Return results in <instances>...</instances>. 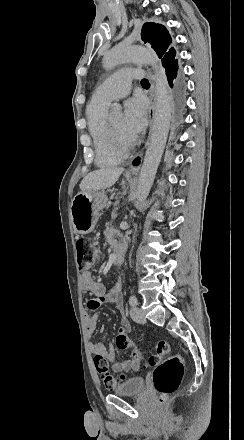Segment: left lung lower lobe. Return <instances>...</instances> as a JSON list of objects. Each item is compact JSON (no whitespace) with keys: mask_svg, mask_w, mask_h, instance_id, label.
I'll use <instances>...</instances> for the list:
<instances>
[{"mask_svg":"<svg viewBox=\"0 0 244 440\" xmlns=\"http://www.w3.org/2000/svg\"><path fill=\"white\" fill-rule=\"evenodd\" d=\"M164 68L171 87V138L172 141H174L178 136L179 129L183 122L186 102V84L183 71L179 70L178 61L176 59L168 65H165Z\"/></svg>","mask_w":244,"mask_h":440,"instance_id":"obj_1","label":"left lung lower lobe"}]
</instances>
